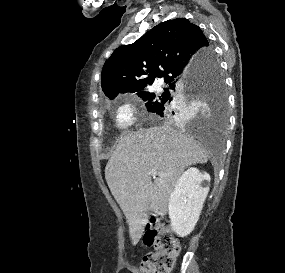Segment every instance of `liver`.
<instances>
[{
  "mask_svg": "<svg viewBox=\"0 0 285 273\" xmlns=\"http://www.w3.org/2000/svg\"><path fill=\"white\" fill-rule=\"evenodd\" d=\"M208 158L198 141L170 124L120 138L106 165L105 178L126 216L133 244L142 236L148 211L166 214L170 195L184 169L206 163ZM152 171L163 175L155 176L152 182Z\"/></svg>",
  "mask_w": 285,
  "mask_h": 273,
  "instance_id": "1",
  "label": "liver"
}]
</instances>
